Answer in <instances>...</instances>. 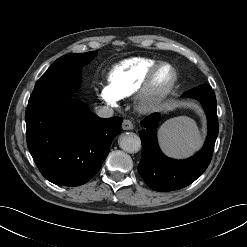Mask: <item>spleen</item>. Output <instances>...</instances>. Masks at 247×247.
I'll list each match as a JSON object with an SVG mask.
<instances>
[{
    "label": "spleen",
    "mask_w": 247,
    "mask_h": 247,
    "mask_svg": "<svg viewBox=\"0 0 247 247\" xmlns=\"http://www.w3.org/2000/svg\"><path fill=\"white\" fill-rule=\"evenodd\" d=\"M162 151L172 158H186L198 150L202 136L195 121L186 116L166 121L158 133Z\"/></svg>",
    "instance_id": "spleen-1"
}]
</instances>
